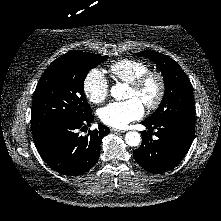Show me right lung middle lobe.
Wrapping results in <instances>:
<instances>
[{
    "label": "right lung middle lobe",
    "instance_id": "dd1d6c3e",
    "mask_svg": "<svg viewBox=\"0 0 221 221\" xmlns=\"http://www.w3.org/2000/svg\"><path fill=\"white\" fill-rule=\"evenodd\" d=\"M107 58L73 51L60 56L48 66L33 95L32 134L55 122L83 118L91 113L84 94V80L92 68Z\"/></svg>",
    "mask_w": 221,
    "mask_h": 221
}]
</instances>
